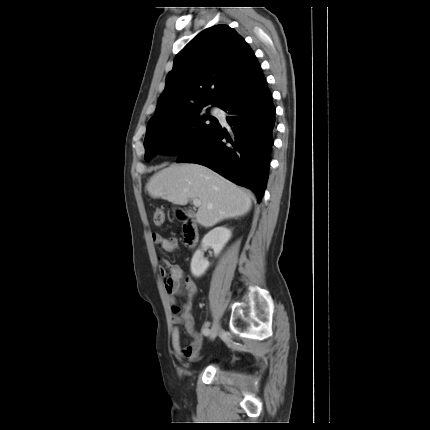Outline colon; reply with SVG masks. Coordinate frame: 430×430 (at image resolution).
I'll use <instances>...</instances> for the list:
<instances>
[{
  "instance_id": "5ec220e1",
  "label": "colon",
  "mask_w": 430,
  "mask_h": 430,
  "mask_svg": "<svg viewBox=\"0 0 430 430\" xmlns=\"http://www.w3.org/2000/svg\"><path fill=\"white\" fill-rule=\"evenodd\" d=\"M153 220H154V223L156 225H158V226L162 225L164 223V221H165V212H164V210L160 209V208L156 209L154 211ZM173 311H174V313H179L180 308L177 305H175V306H173Z\"/></svg>"
}]
</instances>
